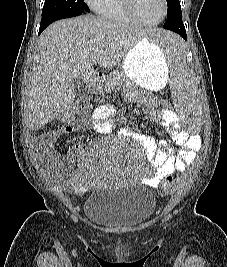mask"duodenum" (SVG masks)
Here are the masks:
<instances>
[{
  "mask_svg": "<svg viewBox=\"0 0 227 267\" xmlns=\"http://www.w3.org/2000/svg\"><path fill=\"white\" fill-rule=\"evenodd\" d=\"M103 81V77L101 75H94L93 78H92V82L94 85H98V84H101Z\"/></svg>",
  "mask_w": 227,
  "mask_h": 267,
  "instance_id": "1",
  "label": "duodenum"
}]
</instances>
